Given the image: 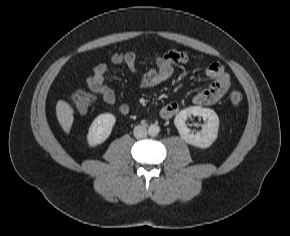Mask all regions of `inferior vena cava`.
<instances>
[{
  "label": "inferior vena cava",
  "mask_w": 290,
  "mask_h": 236,
  "mask_svg": "<svg viewBox=\"0 0 290 236\" xmlns=\"http://www.w3.org/2000/svg\"><path fill=\"white\" fill-rule=\"evenodd\" d=\"M147 133V128L142 125L135 126L133 129V134L136 138H143L147 135Z\"/></svg>",
  "instance_id": "1"
}]
</instances>
